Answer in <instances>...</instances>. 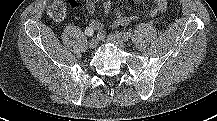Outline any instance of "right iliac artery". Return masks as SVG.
I'll return each instance as SVG.
<instances>
[{
    "mask_svg": "<svg viewBox=\"0 0 217 121\" xmlns=\"http://www.w3.org/2000/svg\"><path fill=\"white\" fill-rule=\"evenodd\" d=\"M97 39H102V36L100 35V33L97 34Z\"/></svg>",
    "mask_w": 217,
    "mask_h": 121,
    "instance_id": "obj_1",
    "label": "right iliac artery"
}]
</instances>
